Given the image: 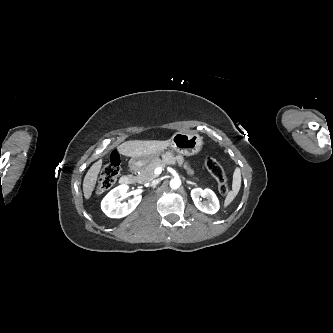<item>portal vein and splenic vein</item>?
<instances>
[{
  "label": "portal vein and splenic vein",
  "mask_w": 333,
  "mask_h": 333,
  "mask_svg": "<svg viewBox=\"0 0 333 333\" xmlns=\"http://www.w3.org/2000/svg\"><path fill=\"white\" fill-rule=\"evenodd\" d=\"M162 170H163V168L162 167H157L156 169H155V174H161L162 173Z\"/></svg>",
  "instance_id": "18ae733b"
}]
</instances>
